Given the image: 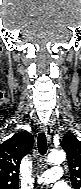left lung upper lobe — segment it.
Listing matches in <instances>:
<instances>
[{
  "label": "left lung upper lobe",
  "instance_id": "5c2ea615",
  "mask_svg": "<svg viewBox=\"0 0 81 189\" xmlns=\"http://www.w3.org/2000/svg\"><path fill=\"white\" fill-rule=\"evenodd\" d=\"M62 148L67 153L72 185L74 189H81V141L72 133L66 134L62 140Z\"/></svg>",
  "mask_w": 81,
  "mask_h": 189
}]
</instances>
